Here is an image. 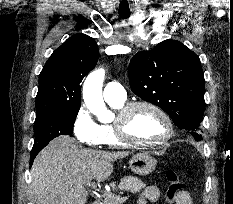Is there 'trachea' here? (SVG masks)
I'll use <instances>...</instances> for the list:
<instances>
[{"label": "trachea", "mask_w": 233, "mask_h": 204, "mask_svg": "<svg viewBox=\"0 0 233 204\" xmlns=\"http://www.w3.org/2000/svg\"><path fill=\"white\" fill-rule=\"evenodd\" d=\"M120 17L123 19H127L130 16V13H119Z\"/></svg>", "instance_id": "3493384b"}]
</instances>
